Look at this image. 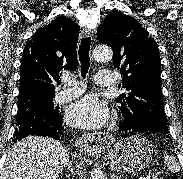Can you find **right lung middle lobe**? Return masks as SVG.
I'll return each instance as SVG.
<instances>
[{"instance_id": "dd1d6c3e", "label": "right lung middle lobe", "mask_w": 183, "mask_h": 179, "mask_svg": "<svg viewBox=\"0 0 183 179\" xmlns=\"http://www.w3.org/2000/svg\"><path fill=\"white\" fill-rule=\"evenodd\" d=\"M55 94H31L18 98L16 126L24 123L31 117H52L58 114L53 105Z\"/></svg>"}]
</instances>
